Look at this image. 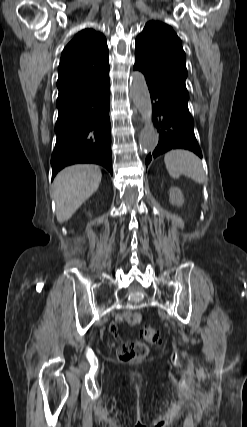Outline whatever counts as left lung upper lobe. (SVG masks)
Here are the masks:
<instances>
[{"label":"left lung upper lobe","instance_id":"left-lung-upper-lobe-1","mask_svg":"<svg viewBox=\"0 0 247 427\" xmlns=\"http://www.w3.org/2000/svg\"><path fill=\"white\" fill-rule=\"evenodd\" d=\"M185 59L181 40L167 24L150 21L136 38L135 66L144 75L189 99Z\"/></svg>","mask_w":247,"mask_h":427}]
</instances>
